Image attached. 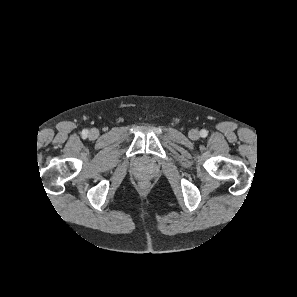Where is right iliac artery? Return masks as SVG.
Wrapping results in <instances>:
<instances>
[{"mask_svg": "<svg viewBox=\"0 0 297 297\" xmlns=\"http://www.w3.org/2000/svg\"><path fill=\"white\" fill-rule=\"evenodd\" d=\"M82 134H83V136H87L88 131H87V130H84V131L82 132Z\"/></svg>", "mask_w": 297, "mask_h": 297, "instance_id": "right-iliac-artery-1", "label": "right iliac artery"}]
</instances>
